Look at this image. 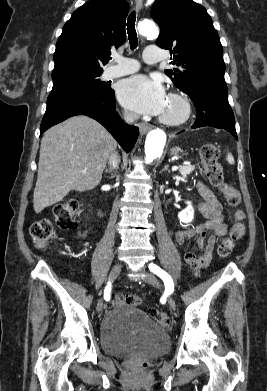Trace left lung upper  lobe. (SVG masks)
<instances>
[{
	"label": "left lung upper lobe",
	"mask_w": 267,
	"mask_h": 391,
	"mask_svg": "<svg viewBox=\"0 0 267 391\" xmlns=\"http://www.w3.org/2000/svg\"><path fill=\"white\" fill-rule=\"evenodd\" d=\"M151 17L161 31L156 44L169 49L180 66L165 71L176 87L185 92L203 82L226 85L223 48L203 6L192 0H156Z\"/></svg>",
	"instance_id": "left-lung-upper-lobe-1"
}]
</instances>
